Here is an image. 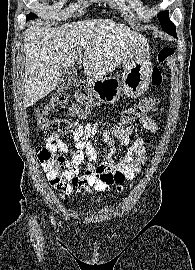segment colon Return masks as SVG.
<instances>
[{
	"label": "colon",
	"instance_id": "1",
	"mask_svg": "<svg viewBox=\"0 0 195 270\" xmlns=\"http://www.w3.org/2000/svg\"><path fill=\"white\" fill-rule=\"evenodd\" d=\"M174 50L171 47L163 48L158 54V63L163 64L172 58ZM162 72L159 66L154 67L151 74V82L158 87L162 84ZM78 106L72 108V114L79 118L86 117L94 108L95 103L85 84H79L77 93ZM69 96L64 91L57 92L49 102L38 109L35 114L38 127L48 138L65 135L76 131V124L67 119L50 118L49 115L56 106H67ZM157 106V99L146 98L138 104L126 109L120 116L119 125H129L140 117L147 115ZM36 154L42 164L47 178L58 191L67 192L70 189L71 178L65 168V158L54 147L47 145L36 149Z\"/></svg>",
	"mask_w": 195,
	"mask_h": 270
}]
</instances>
